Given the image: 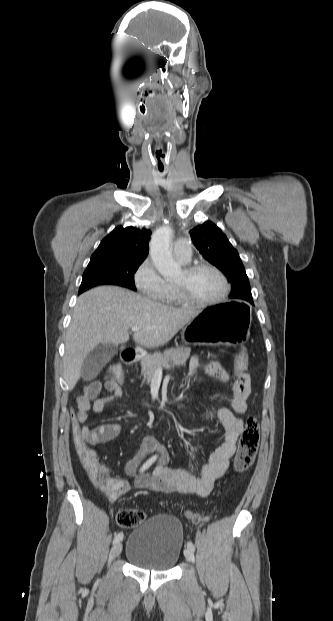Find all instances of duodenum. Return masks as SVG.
I'll use <instances>...</instances> for the list:
<instances>
[{
  "label": "duodenum",
  "instance_id": "410a0bca",
  "mask_svg": "<svg viewBox=\"0 0 333 621\" xmlns=\"http://www.w3.org/2000/svg\"><path fill=\"white\" fill-rule=\"evenodd\" d=\"M137 359H138V353L137 351L133 349L124 350L121 354V360L126 365L134 364L137 361Z\"/></svg>",
  "mask_w": 333,
  "mask_h": 621
}]
</instances>
